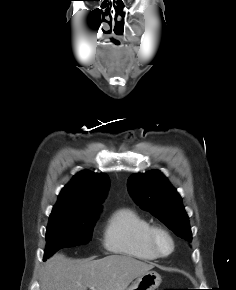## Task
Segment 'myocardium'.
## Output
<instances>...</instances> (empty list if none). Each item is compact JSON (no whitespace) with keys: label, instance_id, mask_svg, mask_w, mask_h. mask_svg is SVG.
<instances>
[{"label":"myocardium","instance_id":"1","mask_svg":"<svg viewBox=\"0 0 236 290\" xmlns=\"http://www.w3.org/2000/svg\"><path fill=\"white\" fill-rule=\"evenodd\" d=\"M166 240L169 244L167 251L163 250L161 240ZM148 242L153 252L158 257H168L175 249V242L171 233L162 227H152L148 234Z\"/></svg>","mask_w":236,"mask_h":290}]
</instances>
